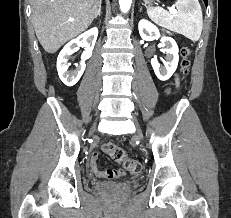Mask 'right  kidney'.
Instances as JSON below:
<instances>
[{
    "mask_svg": "<svg viewBox=\"0 0 231 218\" xmlns=\"http://www.w3.org/2000/svg\"><path fill=\"white\" fill-rule=\"evenodd\" d=\"M97 36L98 28H91L78 36L76 39H73L67 43L59 53L57 58V71L60 79L65 85L73 86L79 81L86 67L85 61L90 57ZM80 46H83L85 49L81 57V62L79 65H76V70L70 72L68 71L70 66V63H68L70 55L76 52Z\"/></svg>",
    "mask_w": 231,
    "mask_h": 218,
    "instance_id": "right-kidney-1",
    "label": "right kidney"
}]
</instances>
